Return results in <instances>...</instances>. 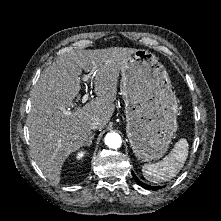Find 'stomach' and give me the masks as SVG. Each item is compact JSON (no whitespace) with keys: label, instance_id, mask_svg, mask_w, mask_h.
<instances>
[{"label":"stomach","instance_id":"0dacf381","mask_svg":"<svg viewBox=\"0 0 221 221\" xmlns=\"http://www.w3.org/2000/svg\"><path fill=\"white\" fill-rule=\"evenodd\" d=\"M121 76L131 148L141 161L160 159L178 128V101L170 77L158 58L145 49H137L125 61Z\"/></svg>","mask_w":221,"mask_h":221}]
</instances>
